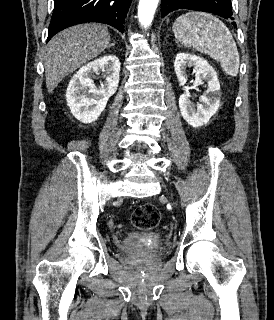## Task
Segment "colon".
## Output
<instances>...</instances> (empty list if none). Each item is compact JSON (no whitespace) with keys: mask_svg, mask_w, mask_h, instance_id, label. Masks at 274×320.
Segmentation results:
<instances>
[{"mask_svg":"<svg viewBox=\"0 0 274 320\" xmlns=\"http://www.w3.org/2000/svg\"><path fill=\"white\" fill-rule=\"evenodd\" d=\"M132 224L135 228L153 229L161 221V213L151 202H143L132 213Z\"/></svg>","mask_w":274,"mask_h":320,"instance_id":"5ec220e1","label":"colon"}]
</instances>
